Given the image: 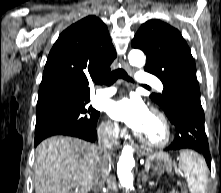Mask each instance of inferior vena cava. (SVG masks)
I'll return each mask as SVG.
<instances>
[{
  "mask_svg": "<svg viewBox=\"0 0 221 193\" xmlns=\"http://www.w3.org/2000/svg\"><path fill=\"white\" fill-rule=\"evenodd\" d=\"M116 141L114 128L100 131L98 135L99 157L94 168V187L101 191L110 172L111 154Z\"/></svg>",
  "mask_w": 221,
  "mask_h": 193,
  "instance_id": "602c4592",
  "label": "inferior vena cava"
}]
</instances>
